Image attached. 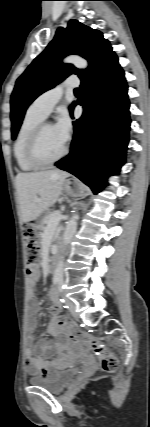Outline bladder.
Instances as JSON below:
<instances>
[{
	"label": "bladder",
	"instance_id": "31cf9c89",
	"mask_svg": "<svg viewBox=\"0 0 150 427\" xmlns=\"http://www.w3.org/2000/svg\"><path fill=\"white\" fill-rule=\"evenodd\" d=\"M76 374V368H65L52 371L45 377L32 376L29 379V383L33 386L44 388L53 393H60L73 381Z\"/></svg>",
	"mask_w": 150,
	"mask_h": 427
}]
</instances>
